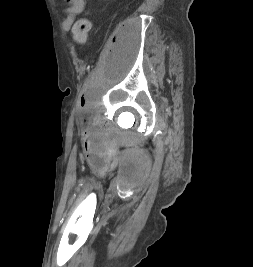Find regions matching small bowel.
Listing matches in <instances>:
<instances>
[{
    "label": "small bowel",
    "instance_id": "small-bowel-1",
    "mask_svg": "<svg viewBox=\"0 0 253 267\" xmlns=\"http://www.w3.org/2000/svg\"><path fill=\"white\" fill-rule=\"evenodd\" d=\"M67 4L64 10V17L62 20V27L68 31L77 19V16L81 14L86 8V0H64Z\"/></svg>",
    "mask_w": 253,
    "mask_h": 267
}]
</instances>
